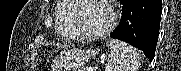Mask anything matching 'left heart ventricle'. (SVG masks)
<instances>
[{
	"label": "left heart ventricle",
	"mask_w": 181,
	"mask_h": 71,
	"mask_svg": "<svg viewBox=\"0 0 181 71\" xmlns=\"http://www.w3.org/2000/svg\"><path fill=\"white\" fill-rule=\"evenodd\" d=\"M81 3L82 8L77 18L80 31L96 33L109 24L110 13L99 0H81Z\"/></svg>",
	"instance_id": "b2bd125f"
}]
</instances>
